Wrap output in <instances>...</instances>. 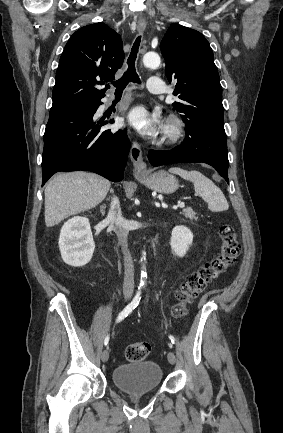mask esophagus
I'll return each instance as SVG.
<instances>
[{"label": "esophagus", "instance_id": "esophagus-1", "mask_svg": "<svg viewBox=\"0 0 283 433\" xmlns=\"http://www.w3.org/2000/svg\"><path fill=\"white\" fill-rule=\"evenodd\" d=\"M146 28L145 22H139L137 24L138 32H144ZM130 159L134 166V173L139 174L147 171L146 163L143 161L142 150L138 143L133 142L130 149Z\"/></svg>", "mask_w": 283, "mask_h": 433}]
</instances>
